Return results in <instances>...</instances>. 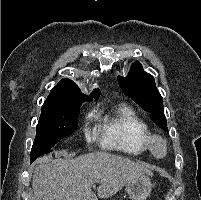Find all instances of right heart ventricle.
Here are the masks:
<instances>
[{
	"label": "right heart ventricle",
	"instance_id": "right-heart-ventricle-1",
	"mask_svg": "<svg viewBox=\"0 0 201 200\" xmlns=\"http://www.w3.org/2000/svg\"><path fill=\"white\" fill-rule=\"evenodd\" d=\"M100 134L104 148L133 156L150 151V129L127 104L118 105L104 119Z\"/></svg>",
	"mask_w": 201,
	"mask_h": 200
}]
</instances>
